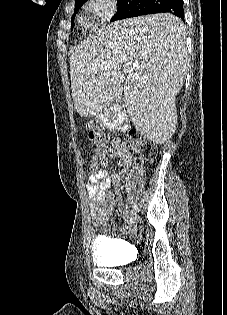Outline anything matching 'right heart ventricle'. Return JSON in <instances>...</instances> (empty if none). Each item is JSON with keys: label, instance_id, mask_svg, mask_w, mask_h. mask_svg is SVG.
I'll list each match as a JSON object with an SVG mask.
<instances>
[{"label": "right heart ventricle", "instance_id": "e07e8e85", "mask_svg": "<svg viewBox=\"0 0 227 315\" xmlns=\"http://www.w3.org/2000/svg\"><path fill=\"white\" fill-rule=\"evenodd\" d=\"M80 22L85 23V18L83 16H80Z\"/></svg>", "mask_w": 227, "mask_h": 315}]
</instances>
